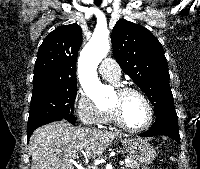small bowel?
Masks as SVG:
<instances>
[{"label": "small bowel", "instance_id": "c3829d8e", "mask_svg": "<svg viewBox=\"0 0 200 169\" xmlns=\"http://www.w3.org/2000/svg\"><path fill=\"white\" fill-rule=\"evenodd\" d=\"M142 169H149V168L144 167V168H142Z\"/></svg>", "mask_w": 200, "mask_h": 169}]
</instances>
